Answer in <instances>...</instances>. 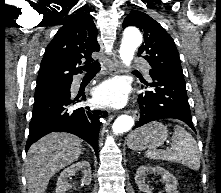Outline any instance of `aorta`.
<instances>
[{"instance_id":"aorta-1","label":"aorta","mask_w":221,"mask_h":193,"mask_svg":"<svg viewBox=\"0 0 221 193\" xmlns=\"http://www.w3.org/2000/svg\"><path fill=\"white\" fill-rule=\"evenodd\" d=\"M142 43V35L138 29L130 27L124 31L119 54L123 64L130 66L136 49ZM134 125V119L129 115H121L113 123L112 130L115 134L129 131Z\"/></svg>"}]
</instances>
